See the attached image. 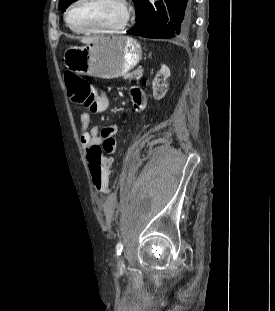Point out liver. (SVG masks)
I'll use <instances>...</instances> for the list:
<instances>
[{
	"mask_svg": "<svg viewBox=\"0 0 275 311\" xmlns=\"http://www.w3.org/2000/svg\"><path fill=\"white\" fill-rule=\"evenodd\" d=\"M94 39H96V38L87 39L84 42L89 43V42L93 41Z\"/></svg>",
	"mask_w": 275,
	"mask_h": 311,
	"instance_id": "1",
	"label": "liver"
}]
</instances>
